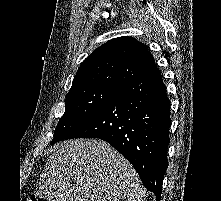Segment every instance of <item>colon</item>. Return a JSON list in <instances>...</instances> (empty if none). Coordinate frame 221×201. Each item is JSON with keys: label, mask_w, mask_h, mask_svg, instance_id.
Wrapping results in <instances>:
<instances>
[{"label": "colon", "mask_w": 221, "mask_h": 201, "mask_svg": "<svg viewBox=\"0 0 221 201\" xmlns=\"http://www.w3.org/2000/svg\"><path fill=\"white\" fill-rule=\"evenodd\" d=\"M25 201H38L35 197H28Z\"/></svg>", "instance_id": "5ec220e1"}]
</instances>
